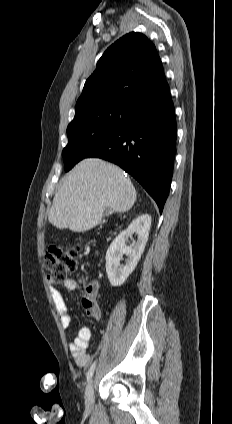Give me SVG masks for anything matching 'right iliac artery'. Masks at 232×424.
<instances>
[{
	"label": "right iliac artery",
	"instance_id": "1",
	"mask_svg": "<svg viewBox=\"0 0 232 424\" xmlns=\"http://www.w3.org/2000/svg\"><path fill=\"white\" fill-rule=\"evenodd\" d=\"M95 367H96V361H94L92 363V365L90 366V368H89V370L87 372V381H89L91 379V377H92V375L94 373Z\"/></svg>",
	"mask_w": 232,
	"mask_h": 424
}]
</instances>
